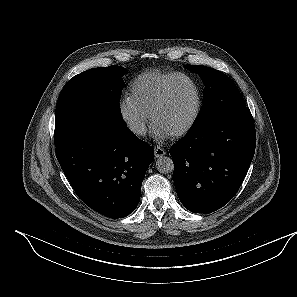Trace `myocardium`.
<instances>
[{"instance_id":"obj_1","label":"myocardium","mask_w":297,"mask_h":297,"mask_svg":"<svg viewBox=\"0 0 297 297\" xmlns=\"http://www.w3.org/2000/svg\"><path fill=\"white\" fill-rule=\"evenodd\" d=\"M180 80L188 81L191 84V86L193 87L194 92H195V105H194L192 115H191L190 119L188 120V122L183 127H181L180 129H178L177 131H175L174 133L169 135L171 138H179V137L187 134L193 128V126L195 125V123L198 119L200 109H201L202 99H201L200 89H199L197 83L195 82V80L186 74H177L174 78H172L166 84V86L164 87L160 96L158 97V99L155 101V103L151 107L149 114H148L150 123L153 126L154 116L166 103L172 87Z\"/></svg>"}]
</instances>
